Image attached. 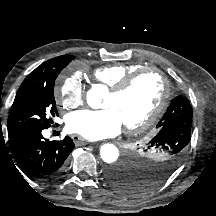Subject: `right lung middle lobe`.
<instances>
[{"label":"right lung middle lobe","mask_w":216,"mask_h":216,"mask_svg":"<svg viewBox=\"0 0 216 216\" xmlns=\"http://www.w3.org/2000/svg\"><path fill=\"white\" fill-rule=\"evenodd\" d=\"M74 57L67 56L51 64L46 75L33 80L15 97L7 122L8 135L28 129L50 127V116L58 115L54 99V84L58 74Z\"/></svg>","instance_id":"right-lung-middle-lobe-1"}]
</instances>
